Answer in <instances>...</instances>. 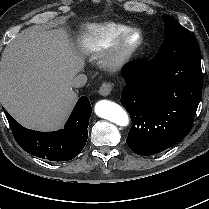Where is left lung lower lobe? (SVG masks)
Instances as JSON below:
<instances>
[{
  "label": "left lung lower lobe",
  "mask_w": 209,
  "mask_h": 209,
  "mask_svg": "<svg viewBox=\"0 0 209 209\" xmlns=\"http://www.w3.org/2000/svg\"><path fill=\"white\" fill-rule=\"evenodd\" d=\"M200 52L126 66L121 104L133 122L126 139L138 155L160 153L190 132L202 95Z\"/></svg>",
  "instance_id": "left-lung-lower-lobe-1"
}]
</instances>
